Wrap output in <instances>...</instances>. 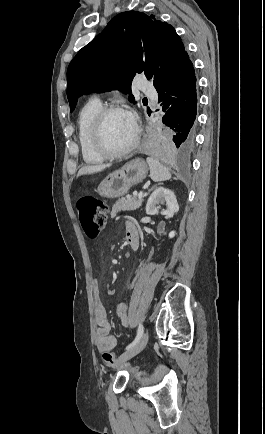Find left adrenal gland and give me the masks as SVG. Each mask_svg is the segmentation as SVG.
I'll use <instances>...</instances> for the list:
<instances>
[{"instance_id": "1", "label": "left adrenal gland", "mask_w": 265, "mask_h": 434, "mask_svg": "<svg viewBox=\"0 0 265 434\" xmlns=\"http://www.w3.org/2000/svg\"><path fill=\"white\" fill-rule=\"evenodd\" d=\"M156 186H153V188H151V190H155Z\"/></svg>"}]
</instances>
